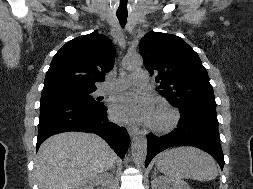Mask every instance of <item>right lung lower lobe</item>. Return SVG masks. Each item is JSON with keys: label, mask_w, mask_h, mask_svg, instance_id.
<instances>
[{"label": "right lung lower lobe", "mask_w": 253, "mask_h": 189, "mask_svg": "<svg viewBox=\"0 0 253 189\" xmlns=\"http://www.w3.org/2000/svg\"><path fill=\"white\" fill-rule=\"evenodd\" d=\"M107 107L72 101H43L40 104V122L36 151L49 136L66 131L93 132L113 148L123 159L129 145L125 128L110 122Z\"/></svg>", "instance_id": "1"}]
</instances>
